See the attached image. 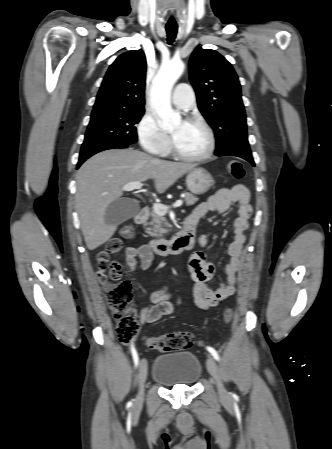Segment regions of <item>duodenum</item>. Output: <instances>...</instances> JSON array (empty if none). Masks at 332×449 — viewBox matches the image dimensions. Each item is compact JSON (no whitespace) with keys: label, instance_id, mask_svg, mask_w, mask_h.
<instances>
[{"label":"duodenum","instance_id":"410a0bca","mask_svg":"<svg viewBox=\"0 0 332 449\" xmlns=\"http://www.w3.org/2000/svg\"><path fill=\"white\" fill-rule=\"evenodd\" d=\"M148 214V208L142 207L134 217L135 223L137 225L144 224L148 218ZM195 229L194 222L188 217L183 221L181 229L172 238L153 239L150 241V246L160 256L181 253L193 246Z\"/></svg>","mask_w":332,"mask_h":449}]
</instances>
